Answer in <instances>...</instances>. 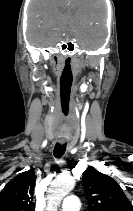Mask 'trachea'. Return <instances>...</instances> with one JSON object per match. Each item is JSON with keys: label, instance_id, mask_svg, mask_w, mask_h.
<instances>
[{"label": "trachea", "instance_id": "3493384b", "mask_svg": "<svg viewBox=\"0 0 133 211\" xmlns=\"http://www.w3.org/2000/svg\"><path fill=\"white\" fill-rule=\"evenodd\" d=\"M65 150H66V143L64 144L56 143L54 151H53L54 156L56 158L61 157L65 153Z\"/></svg>", "mask_w": 133, "mask_h": 211}]
</instances>
